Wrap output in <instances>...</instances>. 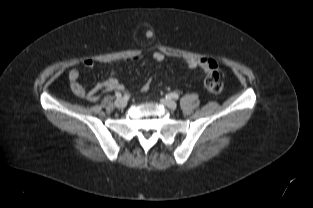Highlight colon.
Here are the masks:
<instances>
[{"label": "colon", "mask_w": 313, "mask_h": 208, "mask_svg": "<svg viewBox=\"0 0 313 208\" xmlns=\"http://www.w3.org/2000/svg\"><path fill=\"white\" fill-rule=\"evenodd\" d=\"M204 85L205 88L211 93H220L223 90L224 84L220 80L217 69H212L206 74ZM143 89L144 90L149 89V82L145 83Z\"/></svg>", "instance_id": "5ec220e1"}]
</instances>
